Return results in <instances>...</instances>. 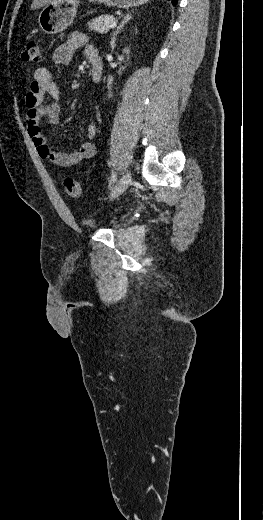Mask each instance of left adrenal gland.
Masks as SVG:
<instances>
[{
  "label": "left adrenal gland",
  "instance_id": "left-adrenal-gland-1",
  "mask_svg": "<svg viewBox=\"0 0 263 520\" xmlns=\"http://www.w3.org/2000/svg\"><path fill=\"white\" fill-rule=\"evenodd\" d=\"M132 19V14L130 12H128L122 22L118 25V27L116 28V30L113 32L112 34V37H111V41H110V45H111V48L112 50L114 49L115 47V41H116V37L117 35L119 34V32L121 31V29L124 27L125 24H127L130 20Z\"/></svg>",
  "mask_w": 263,
  "mask_h": 520
}]
</instances>
